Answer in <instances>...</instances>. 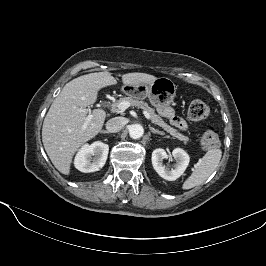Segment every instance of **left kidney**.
<instances>
[{
    "instance_id": "1",
    "label": "left kidney",
    "mask_w": 266,
    "mask_h": 266,
    "mask_svg": "<svg viewBox=\"0 0 266 266\" xmlns=\"http://www.w3.org/2000/svg\"><path fill=\"white\" fill-rule=\"evenodd\" d=\"M172 156L175 160L174 168L169 169L163 163L164 159ZM152 165L155 171L168 181H174L179 178L186 170L190 158L189 155L181 148L172 151V155H168L164 149L158 148L152 152Z\"/></svg>"
}]
</instances>
